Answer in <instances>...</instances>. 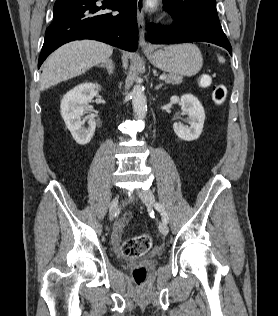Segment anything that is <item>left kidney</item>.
Returning a JSON list of instances; mask_svg holds the SVG:
<instances>
[{"mask_svg": "<svg viewBox=\"0 0 278 316\" xmlns=\"http://www.w3.org/2000/svg\"><path fill=\"white\" fill-rule=\"evenodd\" d=\"M181 109L188 115L189 126H183L180 123H174L175 134L185 140L193 141L199 138L202 133L205 111L200 101L192 94H185L181 97Z\"/></svg>", "mask_w": 278, "mask_h": 316, "instance_id": "5707ae66", "label": "left kidney"}]
</instances>
